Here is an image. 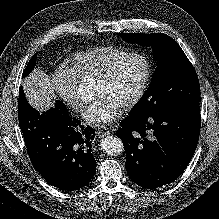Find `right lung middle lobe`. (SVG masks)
Segmentation results:
<instances>
[{
  "instance_id": "1",
  "label": "right lung middle lobe",
  "mask_w": 219,
  "mask_h": 219,
  "mask_svg": "<svg viewBox=\"0 0 219 219\" xmlns=\"http://www.w3.org/2000/svg\"><path fill=\"white\" fill-rule=\"evenodd\" d=\"M36 57L37 54H34L33 57L31 58L30 62L27 64L24 72H23V76L28 75V73H30L32 71V69L34 68V64L36 62ZM56 104L63 107L64 104L61 101H56Z\"/></svg>"
}]
</instances>
